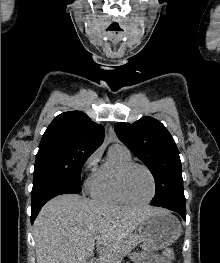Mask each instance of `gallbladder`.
<instances>
[{
    "instance_id": "bac80fb5",
    "label": "gallbladder",
    "mask_w": 220,
    "mask_h": 263,
    "mask_svg": "<svg viewBox=\"0 0 220 263\" xmlns=\"http://www.w3.org/2000/svg\"><path fill=\"white\" fill-rule=\"evenodd\" d=\"M86 263H90V261H89V260H86Z\"/></svg>"
}]
</instances>
